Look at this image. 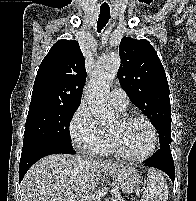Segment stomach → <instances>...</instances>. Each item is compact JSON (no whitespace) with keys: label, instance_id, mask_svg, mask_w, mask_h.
Masks as SVG:
<instances>
[{"label":"stomach","instance_id":"stomach-1","mask_svg":"<svg viewBox=\"0 0 196 201\" xmlns=\"http://www.w3.org/2000/svg\"><path fill=\"white\" fill-rule=\"evenodd\" d=\"M124 192L131 193L141 185L140 175L133 168H117L112 176Z\"/></svg>","mask_w":196,"mask_h":201}]
</instances>
